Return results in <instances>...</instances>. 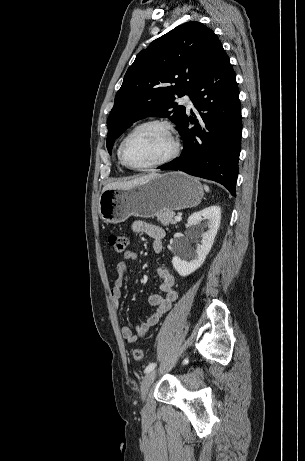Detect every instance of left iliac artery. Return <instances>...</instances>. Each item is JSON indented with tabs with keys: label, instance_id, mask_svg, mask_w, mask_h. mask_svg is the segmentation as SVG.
<instances>
[{
	"label": "left iliac artery",
	"instance_id": "left-iliac-artery-1",
	"mask_svg": "<svg viewBox=\"0 0 305 461\" xmlns=\"http://www.w3.org/2000/svg\"><path fill=\"white\" fill-rule=\"evenodd\" d=\"M155 367H156V363H150V364L146 367L145 373H149V372L152 371Z\"/></svg>",
	"mask_w": 305,
	"mask_h": 461
}]
</instances>
